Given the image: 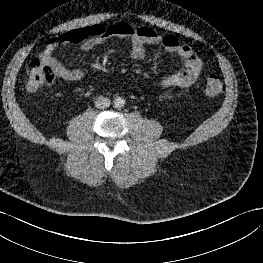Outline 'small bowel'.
<instances>
[{"instance_id":"small-bowel-1","label":"small bowel","mask_w":263,"mask_h":263,"mask_svg":"<svg viewBox=\"0 0 263 263\" xmlns=\"http://www.w3.org/2000/svg\"><path fill=\"white\" fill-rule=\"evenodd\" d=\"M112 37H120L129 42L130 56L134 60H142L145 57V45H161L181 58L183 67L161 80V87L165 91L160 96L161 99L173 89L191 86L200 77L202 60L190 45L181 43L173 35L163 36L150 27H138L124 21L111 25H92L53 35L47 39L40 54V61L49 66L57 77L66 81H79L83 72L61 63L54 56L55 49L62 44H79L82 50L88 51Z\"/></svg>"}]
</instances>
